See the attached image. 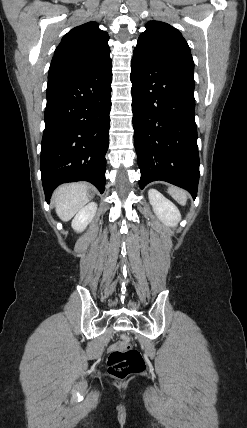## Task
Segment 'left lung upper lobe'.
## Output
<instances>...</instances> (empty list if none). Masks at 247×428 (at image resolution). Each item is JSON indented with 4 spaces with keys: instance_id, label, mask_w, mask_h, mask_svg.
<instances>
[{
    "instance_id": "1",
    "label": "left lung upper lobe",
    "mask_w": 247,
    "mask_h": 428,
    "mask_svg": "<svg viewBox=\"0 0 247 428\" xmlns=\"http://www.w3.org/2000/svg\"><path fill=\"white\" fill-rule=\"evenodd\" d=\"M138 38L134 52L158 59L165 65L193 76L194 62L190 48L181 33L171 25L149 21Z\"/></svg>"
}]
</instances>
